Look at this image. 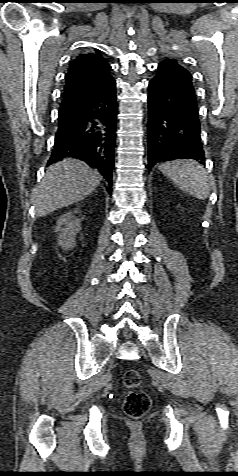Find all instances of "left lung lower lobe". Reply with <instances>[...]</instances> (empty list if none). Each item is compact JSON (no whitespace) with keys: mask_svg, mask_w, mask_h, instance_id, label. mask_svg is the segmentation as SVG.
I'll return each mask as SVG.
<instances>
[{"mask_svg":"<svg viewBox=\"0 0 238 476\" xmlns=\"http://www.w3.org/2000/svg\"><path fill=\"white\" fill-rule=\"evenodd\" d=\"M148 168L177 158L205 160L195 91L159 65L149 82Z\"/></svg>","mask_w":238,"mask_h":476,"instance_id":"1","label":"left lung lower lobe"}]
</instances>
